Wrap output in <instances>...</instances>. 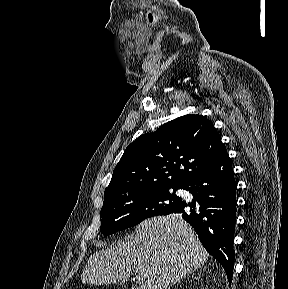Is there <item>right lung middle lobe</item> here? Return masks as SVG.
Instances as JSON below:
<instances>
[{
    "label": "right lung middle lobe",
    "mask_w": 288,
    "mask_h": 289,
    "mask_svg": "<svg viewBox=\"0 0 288 289\" xmlns=\"http://www.w3.org/2000/svg\"><path fill=\"white\" fill-rule=\"evenodd\" d=\"M174 192L179 187H160L122 193L104 198L100 231L108 236L135 226L146 218L166 215L181 201Z\"/></svg>",
    "instance_id": "1"
}]
</instances>
